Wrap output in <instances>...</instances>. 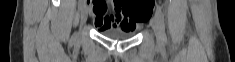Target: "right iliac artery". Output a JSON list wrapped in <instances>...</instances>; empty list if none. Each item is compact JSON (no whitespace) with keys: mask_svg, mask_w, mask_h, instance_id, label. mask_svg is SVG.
<instances>
[{"mask_svg":"<svg viewBox=\"0 0 235 62\" xmlns=\"http://www.w3.org/2000/svg\"><path fill=\"white\" fill-rule=\"evenodd\" d=\"M83 6H84V2H83V0H80V1H79V8L82 9Z\"/></svg>","mask_w":235,"mask_h":62,"instance_id":"obj_1","label":"right iliac artery"}]
</instances>
